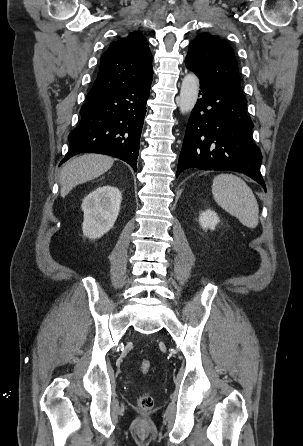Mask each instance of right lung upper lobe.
Here are the masks:
<instances>
[{
    "label": "right lung upper lobe",
    "instance_id": "1",
    "mask_svg": "<svg viewBox=\"0 0 303 446\" xmlns=\"http://www.w3.org/2000/svg\"><path fill=\"white\" fill-rule=\"evenodd\" d=\"M152 59L147 40L141 33L131 32L119 38L102 55L99 73L87 98L151 77Z\"/></svg>",
    "mask_w": 303,
    "mask_h": 446
}]
</instances>
